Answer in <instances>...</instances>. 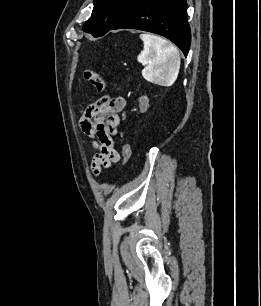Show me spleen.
I'll return each instance as SVG.
<instances>
[{"label": "spleen", "instance_id": "spleen-1", "mask_svg": "<svg viewBox=\"0 0 261 306\" xmlns=\"http://www.w3.org/2000/svg\"><path fill=\"white\" fill-rule=\"evenodd\" d=\"M144 48L137 60L145 68L142 76L149 82L169 87L176 81L181 58L178 49L169 41L152 34H141Z\"/></svg>", "mask_w": 261, "mask_h": 306}]
</instances>
